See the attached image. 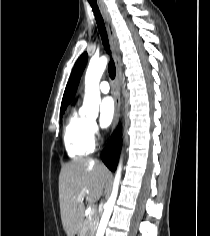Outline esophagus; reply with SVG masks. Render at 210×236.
<instances>
[{"instance_id": "1", "label": "esophagus", "mask_w": 210, "mask_h": 236, "mask_svg": "<svg viewBox=\"0 0 210 236\" xmlns=\"http://www.w3.org/2000/svg\"><path fill=\"white\" fill-rule=\"evenodd\" d=\"M102 11L104 14V18L106 21L107 25V30L109 33L110 37V42H111V49L114 57V62L116 66V81H115V116H114V129L116 128L119 120V112H120V86H121V55L119 51V44H118V39L116 35L115 28L111 22L110 16L106 10V8L102 5Z\"/></svg>"}]
</instances>
